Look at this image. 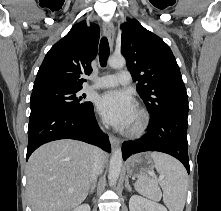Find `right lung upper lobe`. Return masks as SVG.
<instances>
[{
  "label": "right lung upper lobe",
  "mask_w": 221,
  "mask_h": 211,
  "mask_svg": "<svg viewBox=\"0 0 221 211\" xmlns=\"http://www.w3.org/2000/svg\"><path fill=\"white\" fill-rule=\"evenodd\" d=\"M98 41L97 24L88 27L83 21L74 25L46 54L33 91L47 88L81 89L86 81L81 75L92 71L91 61L96 57Z\"/></svg>",
  "instance_id": "obj_1"
}]
</instances>
